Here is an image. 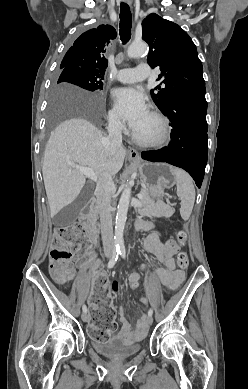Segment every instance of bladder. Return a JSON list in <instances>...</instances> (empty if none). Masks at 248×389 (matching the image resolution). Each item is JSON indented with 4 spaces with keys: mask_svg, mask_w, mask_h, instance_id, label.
Returning <instances> with one entry per match:
<instances>
[{
    "mask_svg": "<svg viewBox=\"0 0 248 389\" xmlns=\"http://www.w3.org/2000/svg\"><path fill=\"white\" fill-rule=\"evenodd\" d=\"M91 345L94 350L111 359H123L136 355L141 351L140 344H131L126 339L113 337L107 341L92 337Z\"/></svg>",
    "mask_w": 248,
    "mask_h": 389,
    "instance_id": "bladder-1",
    "label": "bladder"
}]
</instances>
